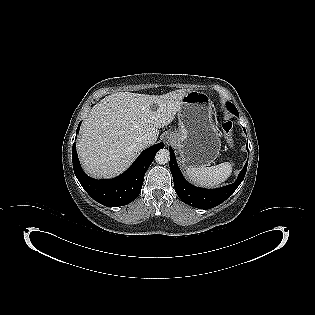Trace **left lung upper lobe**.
Here are the masks:
<instances>
[{
  "instance_id": "1",
  "label": "left lung upper lobe",
  "mask_w": 315,
  "mask_h": 315,
  "mask_svg": "<svg viewBox=\"0 0 315 315\" xmlns=\"http://www.w3.org/2000/svg\"><path fill=\"white\" fill-rule=\"evenodd\" d=\"M227 108H228V110H230L233 114H235V115L238 114L236 107H235L232 103L228 102V103H227Z\"/></svg>"
}]
</instances>
